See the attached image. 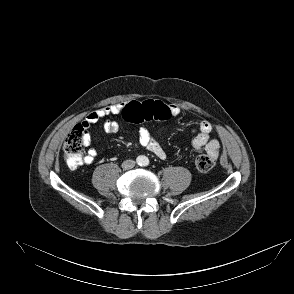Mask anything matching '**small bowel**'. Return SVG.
I'll return each mask as SVG.
<instances>
[{
	"mask_svg": "<svg viewBox=\"0 0 294 294\" xmlns=\"http://www.w3.org/2000/svg\"><path fill=\"white\" fill-rule=\"evenodd\" d=\"M126 104H113L94 112H91L87 115V117L82 122V127L84 128V144L89 146L92 142V137L89 132V128L100 122L102 119L110 116H116L122 113L123 108ZM172 116L176 117L180 114V108L175 105H169ZM103 128L107 133H116L119 130V124L116 120L106 119L103 122ZM212 131V126L209 122L205 120H201L197 123L196 127L193 129V133L195 134L193 139V148L198 152H206L209 155L214 156L215 158L218 156L220 144L216 139L210 138V133ZM139 144L141 147L147 149L156 157L161 160H165L167 158V154L163 149L160 142L154 138L147 128L140 127L139 128ZM98 155V151L95 148H90L87 152V155L84 158L85 164H91Z\"/></svg>",
	"mask_w": 294,
	"mask_h": 294,
	"instance_id": "obj_1",
	"label": "small bowel"
}]
</instances>
